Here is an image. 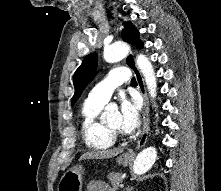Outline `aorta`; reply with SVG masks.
<instances>
[{
	"instance_id": "762f6f07",
	"label": "aorta",
	"mask_w": 221,
	"mask_h": 191,
	"mask_svg": "<svg viewBox=\"0 0 221 191\" xmlns=\"http://www.w3.org/2000/svg\"><path fill=\"white\" fill-rule=\"evenodd\" d=\"M129 52V46L124 42H115L105 48L103 57L106 62L114 63L122 60ZM136 63L144 76L147 89L152 98L156 97V77L153 66L149 59L139 54L136 58ZM108 111L113 110L107 108ZM157 157V150L155 147H148L142 150L134 161V172L138 175L146 173L155 163Z\"/></svg>"
}]
</instances>
